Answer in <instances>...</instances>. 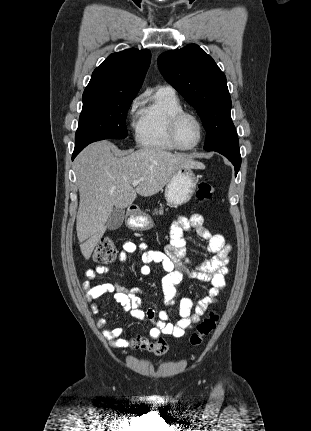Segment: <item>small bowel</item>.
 <instances>
[{"label": "small bowel", "instance_id": "1", "mask_svg": "<svg viewBox=\"0 0 311 431\" xmlns=\"http://www.w3.org/2000/svg\"><path fill=\"white\" fill-rule=\"evenodd\" d=\"M191 230H194L202 241L207 242L206 248L210 256L196 265L188 274L193 279L208 283L210 288L208 295L200 299L197 304L188 298L179 301L180 318L176 323L169 322L164 311L157 314L152 309L144 311L142 308L143 291L139 287L128 289L113 283L90 284L89 281L95 280L98 275L109 272V268L104 265L88 269L85 273L87 281L83 283V290L92 313L95 315L99 313L97 299L105 294H113L114 299L123 307L124 311L152 325L149 333L151 338H157L160 334L179 338L188 332L192 325L199 321L200 316L217 302L220 291L225 287V276L228 273L229 254L231 252V246L225 238L221 234H212L206 227L203 216L195 213L190 217H179L172 223L170 243L164 251L150 250L143 243L136 244L127 241L123 244L118 256L120 262H125L129 254L138 250L142 251L141 273L143 275L151 273L152 264L160 266L167 273L161 282L164 299L166 304L173 305L175 304L176 286L185 276V272L181 269L186 255L184 233ZM107 325L108 320L106 318L98 319L97 326L103 328V335L112 346L126 347L129 345V341L121 337L122 328L108 329L106 328Z\"/></svg>", "mask_w": 311, "mask_h": 431}]
</instances>
